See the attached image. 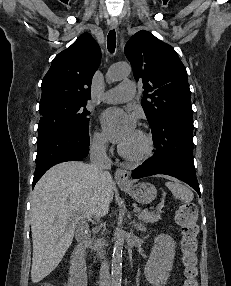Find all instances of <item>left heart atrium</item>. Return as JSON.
<instances>
[{"label": "left heart atrium", "instance_id": "obj_1", "mask_svg": "<svg viewBox=\"0 0 231 286\" xmlns=\"http://www.w3.org/2000/svg\"><path fill=\"white\" fill-rule=\"evenodd\" d=\"M101 122L110 139L120 146L128 143L136 134L135 119L122 109L105 110Z\"/></svg>", "mask_w": 231, "mask_h": 286}]
</instances>
